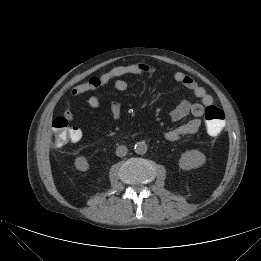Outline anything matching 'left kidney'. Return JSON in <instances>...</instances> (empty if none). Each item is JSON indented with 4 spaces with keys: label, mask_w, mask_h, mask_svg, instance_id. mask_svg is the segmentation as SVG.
I'll return each instance as SVG.
<instances>
[{
    "label": "left kidney",
    "mask_w": 261,
    "mask_h": 261,
    "mask_svg": "<svg viewBox=\"0 0 261 261\" xmlns=\"http://www.w3.org/2000/svg\"><path fill=\"white\" fill-rule=\"evenodd\" d=\"M206 162V156L199 150L193 149L182 153L179 167L183 170L196 169Z\"/></svg>",
    "instance_id": "5707ae66"
}]
</instances>
